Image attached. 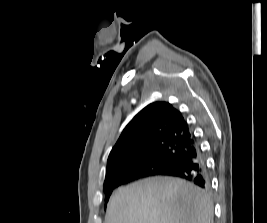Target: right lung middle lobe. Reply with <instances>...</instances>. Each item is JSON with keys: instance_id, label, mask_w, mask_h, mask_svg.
Segmentation results:
<instances>
[{"instance_id": "1", "label": "right lung middle lobe", "mask_w": 267, "mask_h": 223, "mask_svg": "<svg viewBox=\"0 0 267 223\" xmlns=\"http://www.w3.org/2000/svg\"><path fill=\"white\" fill-rule=\"evenodd\" d=\"M184 150L176 145L161 146L155 152L142 160H135L129 166V171L142 170L152 174L165 171L183 154ZM111 193L105 195L108 200Z\"/></svg>"}]
</instances>
